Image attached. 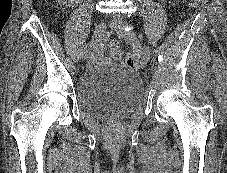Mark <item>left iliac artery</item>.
I'll list each match as a JSON object with an SVG mask.
<instances>
[{"label":"left iliac artery","instance_id":"obj_1","mask_svg":"<svg viewBox=\"0 0 227 173\" xmlns=\"http://www.w3.org/2000/svg\"><path fill=\"white\" fill-rule=\"evenodd\" d=\"M145 50H146V52H147V54L150 56V49L148 48V47H145Z\"/></svg>","mask_w":227,"mask_h":173}]
</instances>
